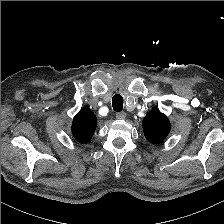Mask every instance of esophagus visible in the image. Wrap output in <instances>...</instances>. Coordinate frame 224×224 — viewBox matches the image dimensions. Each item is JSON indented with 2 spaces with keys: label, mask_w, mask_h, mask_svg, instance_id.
<instances>
[{
  "label": "esophagus",
  "mask_w": 224,
  "mask_h": 224,
  "mask_svg": "<svg viewBox=\"0 0 224 224\" xmlns=\"http://www.w3.org/2000/svg\"><path fill=\"white\" fill-rule=\"evenodd\" d=\"M127 114L125 112H118L116 113V118L119 120H124L126 118Z\"/></svg>",
  "instance_id": "obj_1"
}]
</instances>
